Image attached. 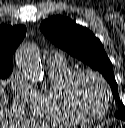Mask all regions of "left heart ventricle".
<instances>
[{"label":"left heart ventricle","instance_id":"left-heart-ventricle-1","mask_svg":"<svg viewBox=\"0 0 125 128\" xmlns=\"http://www.w3.org/2000/svg\"><path fill=\"white\" fill-rule=\"evenodd\" d=\"M75 96L79 105L88 113H100L106 103V97L98 82L89 76L79 79L75 86Z\"/></svg>","mask_w":125,"mask_h":128}]
</instances>
